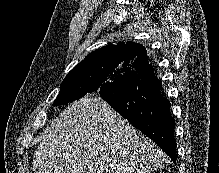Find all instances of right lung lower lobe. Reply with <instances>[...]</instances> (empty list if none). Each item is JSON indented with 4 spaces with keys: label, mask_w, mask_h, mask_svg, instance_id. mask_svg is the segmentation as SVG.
<instances>
[{
    "label": "right lung lower lobe",
    "mask_w": 219,
    "mask_h": 173,
    "mask_svg": "<svg viewBox=\"0 0 219 173\" xmlns=\"http://www.w3.org/2000/svg\"><path fill=\"white\" fill-rule=\"evenodd\" d=\"M161 86L153 67L147 63L127 74L113 91L100 93V96L176 164L175 121Z\"/></svg>",
    "instance_id": "right-lung-lower-lobe-1"
}]
</instances>
